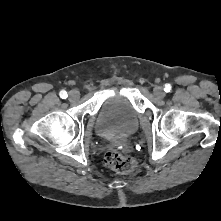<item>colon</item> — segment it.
I'll return each instance as SVG.
<instances>
[{
	"label": "colon",
	"instance_id": "5ec220e1",
	"mask_svg": "<svg viewBox=\"0 0 221 221\" xmlns=\"http://www.w3.org/2000/svg\"><path fill=\"white\" fill-rule=\"evenodd\" d=\"M104 163L107 167L120 173H130L136 169V161L121 152L111 149L105 153Z\"/></svg>",
	"mask_w": 221,
	"mask_h": 221
}]
</instances>
